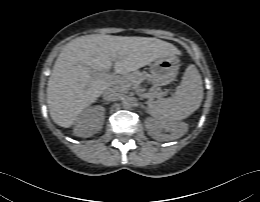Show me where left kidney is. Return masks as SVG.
<instances>
[{"instance_id":"5707ae66","label":"left kidney","mask_w":260,"mask_h":202,"mask_svg":"<svg viewBox=\"0 0 260 202\" xmlns=\"http://www.w3.org/2000/svg\"><path fill=\"white\" fill-rule=\"evenodd\" d=\"M152 123L149 125V135L156 140L160 139H174L175 133L179 125L169 122H161L158 120H151ZM170 132V135H164L162 132Z\"/></svg>"}]
</instances>
